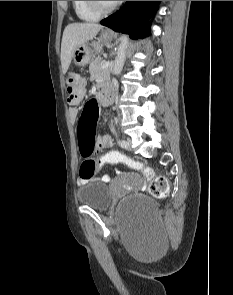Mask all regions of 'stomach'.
I'll use <instances>...</instances> for the list:
<instances>
[{
	"instance_id": "0dacf381",
	"label": "stomach",
	"mask_w": 233,
	"mask_h": 295,
	"mask_svg": "<svg viewBox=\"0 0 233 295\" xmlns=\"http://www.w3.org/2000/svg\"><path fill=\"white\" fill-rule=\"evenodd\" d=\"M114 37V33L109 30L101 32L97 41L91 43L81 44L73 53V61L77 66H86L92 61V55L94 52L99 53L102 50V46L105 43H109Z\"/></svg>"
}]
</instances>
